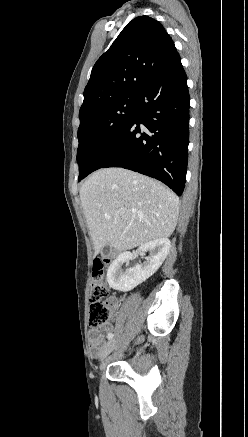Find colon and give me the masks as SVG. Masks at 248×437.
Listing matches in <instances>:
<instances>
[{
	"instance_id": "5ec220e1",
	"label": "colon",
	"mask_w": 248,
	"mask_h": 437,
	"mask_svg": "<svg viewBox=\"0 0 248 437\" xmlns=\"http://www.w3.org/2000/svg\"><path fill=\"white\" fill-rule=\"evenodd\" d=\"M110 288L105 279V261L96 259L93 263L90 284L89 325L98 328L107 325L115 317L114 304L109 299Z\"/></svg>"
}]
</instances>
